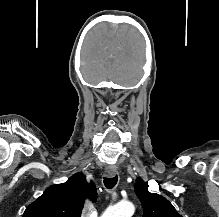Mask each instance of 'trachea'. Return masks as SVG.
I'll return each instance as SVG.
<instances>
[{"mask_svg":"<svg viewBox=\"0 0 219 217\" xmlns=\"http://www.w3.org/2000/svg\"><path fill=\"white\" fill-rule=\"evenodd\" d=\"M118 181V177L114 176V177H106L104 178V185L107 189H112L116 183Z\"/></svg>","mask_w":219,"mask_h":217,"instance_id":"3493384b","label":"trachea"}]
</instances>
